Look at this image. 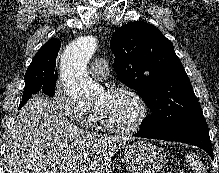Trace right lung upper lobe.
I'll return each instance as SVG.
<instances>
[{"label": "right lung upper lobe", "mask_w": 219, "mask_h": 173, "mask_svg": "<svg viewBox=\"0 0 219 173\" xmlns=\"http://www.w3.org/2000/svg\"><path fill=\"white\" fill-rule=\"evenodd\" d=\"M60 46L61 41L59 39H50L39 49V51L33 57L30 66L36 65L44 68V70L52 71L57 75V69H55V61L60 50Z\"/></svg>", "instance_id": "cb5924a9"}]
</instances>
